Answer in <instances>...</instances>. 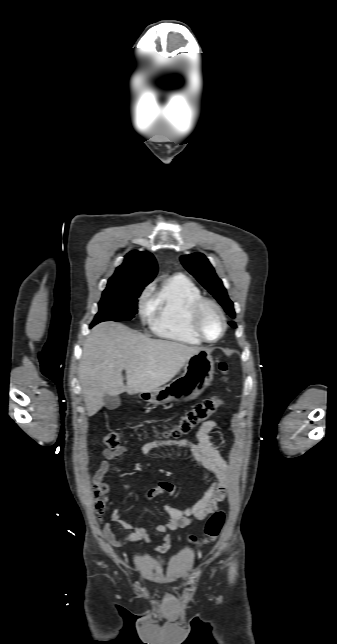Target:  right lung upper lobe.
<instances>
[{"label": "right lung upper lobe", "instance_id": "cb5924a9", "mask_svg": "<svg viewBox=\"0 0 337 644\" xmlns=\"http://www.w3.org/2000/svg\"><path fill=\"white\" fill-rule=\"evenodd\" d=\"M157 271V263L151 253L131 251L108 280L107 288L146 286L154 279Z\"/></svg>", "mask_w": 337, "mask_h": 644}]
</instances>
